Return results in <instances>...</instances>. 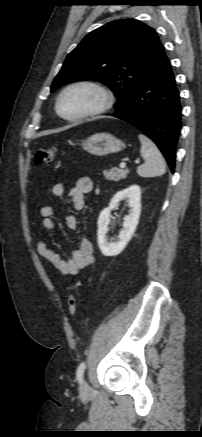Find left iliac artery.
I'll return each mask as SVG.
<instances>
[{
    "instance_id": "obj_1",
    "label": "left iliac artery",
    "mask_w": 202,
    "mask_h": 437,
    "mask_svg": "<svg viewBox=\"0 0 202 437\" xmlns=\"http://www.w3.org/2000/svg\"><path fill=\"white\" fill-rule=\"evenodd\" d=\"M85 370V362H81L76 371V377L79 383L83 381V374Z\"/></svg>"
}]
</instances>
